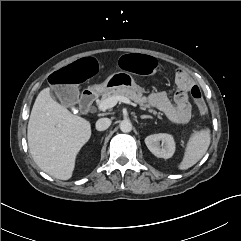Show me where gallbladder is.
<instances>
[{
    "label": "gallbladder",
    "instance_id": "obj_1",
    "mask_svg": "<svg viewBox=\"0 0 241 241\" xmlns=\"http://www.w3.org/2000/svg\"><path fill=\"white\" fill-rule=\"evenodd\" d=\"M67 91L70 92V96L66 97V99L63 101V104L65 106H73L78 102L79 99V90L77 87H69V89H67Z\"/></svg>",
    "mask_w": 241,
    "mask_h": 241
}]
</instances>
